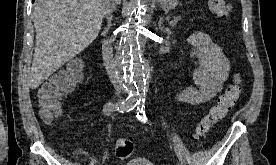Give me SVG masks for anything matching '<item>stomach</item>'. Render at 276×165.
I'll use <instances>...</instances> for the list:
<instances>
[{
  "label": "stomach",
  "instance_id": "1",
  "mask_svg": "<svg viewBox=\"0 0 276 165\" xmlns=\"http://www.w3.org/2000/svg\"><path fill=\"white\" fill-rule=\"evenodd\" d=\"M160 2V6L164 10L173 9L177 6V0H158Z\"/></svg>",
  "mask_w": 276,
  "mask_h": 165
}]
</instances>
